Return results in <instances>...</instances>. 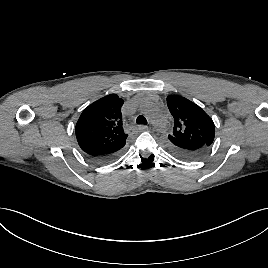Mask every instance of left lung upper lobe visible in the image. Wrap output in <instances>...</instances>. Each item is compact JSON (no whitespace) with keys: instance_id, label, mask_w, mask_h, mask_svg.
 I'll list each match as a JSON object with an SVG mask.
<instances>
[{"instance_id":"5c2ea615","label":"left lung upper lobe","mask_w":268,"mask_h":268,"mask_svg":"<svg viewBox=\"0 0 268 268\" xmlns=\"http://www.w3.org/2000/svg\"><path fill=\"white\" fill-rule=\"evenodd\" d=\"M167 105L174 118L173 132L168 135L169 141H200L211 146L215 138V126L202 108L175 95L167 97Z\"/></svg>"}]
</instances>
